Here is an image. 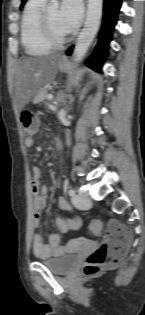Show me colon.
<instances>
[{
    "instance_id": "5ec220e1",
    "label": "colon",
    "mask_w": 145,
    "mask_h": 315,
    "mask_svg": "<svg viewBox=\"0 0 145 315\" xmlns=\"http://www.w3.org/2000/svg\"><path fill=\"white\" fill-rule=\"evenodd\" d=\"M20 119L25 138H32L38 127L36 116L31 111H23ZM89 229L92 234H99L101 229L100 222L92 220ZM130 243L131 233L129 229L118 221H111L103 242L87 258L84 265V273L86 275H94L116 265L127 252Z\"/></svg>"
}]
</instances>
